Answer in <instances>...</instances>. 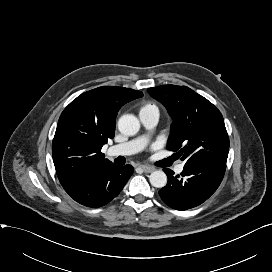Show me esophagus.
<instances>
[{"instance_id":"34e87169","label":"esophagus","mask_w":272,"mask_h":272,"mask_svg":"<svg viewBox=\"0 0 272 272\" xmlns=\"http://www.w3.org/2000/svg\"><path fill=\"white\" fill-rule=\"evenodd\" d=\"M140 168L145 172V173H151L155 170L154 167L147 166V165H141Z\"/></svg>"}]
</instances>
